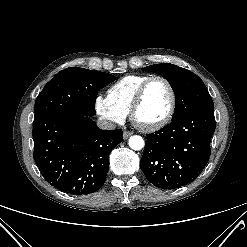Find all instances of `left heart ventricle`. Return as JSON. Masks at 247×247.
<instances>
[{"label":"left heart ventricle","instance_id":"left-heart-ventricle-1","mask_svg":"<svg viewBox=\"0 0 247 247\" xmlns=\"http://www.w3.org/2000/svg\"><path fill=\"white\" fill-rule=\"evenodd\" d=\"M170 102L171 96L167 85L161 80L153 81L137 111V120L143 124H152L161 120L168 112Z\"/></svg>","mask_w":247,"mask_h":247}]
</instances>
